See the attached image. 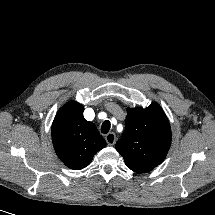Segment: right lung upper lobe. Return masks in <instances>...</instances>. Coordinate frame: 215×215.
Listing matches in <instances>:
<instances>
[{
    "label": "right lung upper lobe",
    "mask_w": 215,
    "mask_h": 215,
    "mask_svg": "<svg viewBox=\"0 0 215 215\" xmlns=\"http://www.w3.org/2000/svg\"><path fill=\"white\" fill-rule=\"evenodd\" d=\"M84 107L70 101L57 112L52 124V142L59 159L69 168L88 166L106 142L96 126L83 117Z\"/></svg>",
    "instance_id": "right-lung-upper-lobe-1"
}]
</instances>
